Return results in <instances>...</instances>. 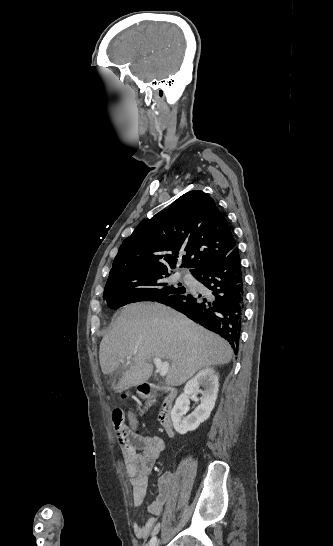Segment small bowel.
I'll use <instances>...</instances> for the list:
<instances>
[{"instance_id": "obj_1", "label": "small bowel", "mask_w": 333, "mask_h": 546, "mask_svg": "<svg viewBox=\"0 0 333 546\" xmlns=\"http://www.w3.org/2000/svg\"><path fill=\"white\" fill-rule=\"evenodd\" d=\"M129 422V434L134 447V453L122 448L123 459L127 475L130 477L133 503L140 505L145 497L150 474L160 454L165 449V442L160 436H144L139 434L137 419L129 411L127 413ZM139 451V452H137ZM173 496V485L171 479L166 476L160 480L159 493L148 506L149 517L145 523H135L133 530L138 538H146L151 532L158 530V517L162 514L166 504Z\"/></svg>"}]
</instances>
